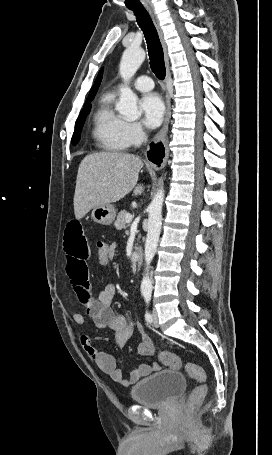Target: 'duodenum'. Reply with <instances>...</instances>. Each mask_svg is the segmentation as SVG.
I'll list each match as a JSON object with an SVG mask.
<instances>
[{"label": "duodenum", "mask_w": 272, "mask_h": 455, "mask_svg": "<svg viewBox=\"0 0 272 455\" xmlns=\"http://www.w3.org/2000/svg\"><path fill=\"white\" fill-rule=\"evenodd\" d=\"M143 251L141 248H137L135 251L136 264L140 268L143 264Z\"/></svg>", "instance_id": "duodenum-1"}]
</instances>
